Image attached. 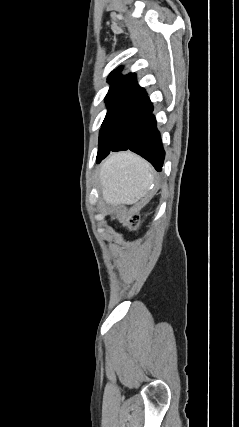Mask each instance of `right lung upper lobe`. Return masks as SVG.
Instances as JSON below:
<instances>
[{"instance_id": "1", "label": "right lung upper lobe", "mask_w": 239, "mask_h": 427, "mask_svg": "<svg viewBox=\"0 0 239 427\" xmlns=\"http://www.w3.org/2000/svg\"><path fill=\"white\" fill-rule=\"evenodd\" d=\"M122 67L114 70L108 77L110 89L106 95V100H118L135 98L141 100H149L145 90L136 82V75L130 73L126 76L121 75Z\"/></svg>"}]
</instances>
